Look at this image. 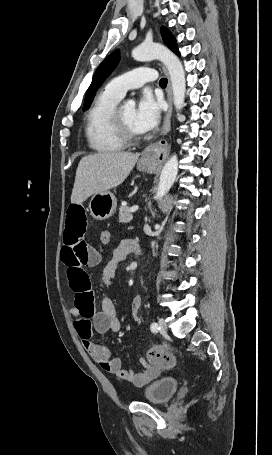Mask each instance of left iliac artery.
I'll use <instances>...</instances> for the list:
<instances>
[{"label":"left iliac artery","instance_id":"1","mask_svg":"<svg viewBox=\"0 0 272 455\" xmlns=\"http://www.w3.org/2000/svg\"><path fill=\"white\" fill-rule=\"evenodd\" d=\"M150 329H151L152 332L156 333V332H158V330H159L160 328H159V326H158V324H157L156 322H153V323L151 324V326H150Z\"/></svg>","mask_w":272,"mask_h":455}]
</instances>
